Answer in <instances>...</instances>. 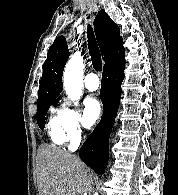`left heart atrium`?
I'll list each match as a JSON object with an SVG mask.
<instances>
[{"label": "left heart atrium", "instance_id": "obj_1", "mask_svg": "<svg viewBox=\"0 0 178 195\" xmlns=\"http://www.w3.org/2000/svg\"><path fill=\"white\" fill-rule=\"evenodd\" d=\"M101 104L94 96H90L84 101V125L89 128L93 126L101 115Z\"/></svg>", "mask_w": 178, "mask_h": 195}]
</instances>
